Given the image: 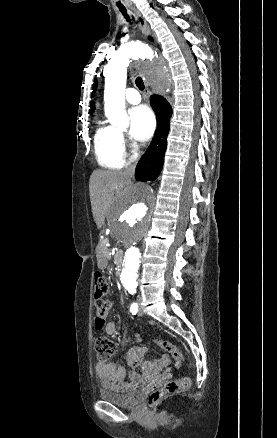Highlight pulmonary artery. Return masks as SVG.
<instances>
[{
	"mask_svg": "<svg viewBox=\"0 0 277 438\" xmlns=\"http://www.w3.org/2000/svg\"><path fill=\"white\" fill-rule=\"evenodd\" d=\"M140 92L139 87H129L125 90V100L133 105L139 104L141 102V98L139 97Z\"/></svg>",
	"mask_w": 277,
	"mask_h": 438,
	"instance_id": "1",
	"label": "pulmonary artery"
}]
</instances>
